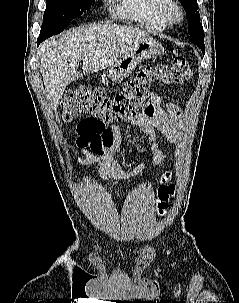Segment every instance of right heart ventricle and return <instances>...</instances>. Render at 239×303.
Listing matches in <instances>:
<instances>
[{
	"instance_id": "1",
	"label": "right heart ventricle",
	"mask_w": 239,
	"mask_h": 303,
	"mask_svg": "<svg viewBox=\"0 0 239 303\" xmlns=\"http://www.w3.org/2000/svg\"><path fill=\"white\" fill-rule=\"evenodd\" d=\"M114 12L151 30H165L170 22L163 14L166 0H116Z\"/></svg>"
}]
</instances>
